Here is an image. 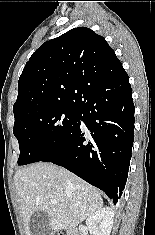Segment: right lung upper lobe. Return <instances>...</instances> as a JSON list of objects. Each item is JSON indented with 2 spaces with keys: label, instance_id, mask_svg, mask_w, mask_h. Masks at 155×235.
I'll return each instance as SVG.
<instances>
[{
  "label": "right lung upper lobe",
  "instance_id": "cb5924a9",
  "mask_svg": "<svg viewBox=\"0 0 155 235\" xmlns=\"http://www.w3.org/2000/svg\"><path fill=\"white\" fill-rule=\"evenodd\" d=\"M123 66L106 40L78 27L42 44L18 82L14 117L36 109L78 104L96 84L117 76Z\"/></svg>",
  "mask_w": 155,
  "mask_h": 235
}]
</instances>
